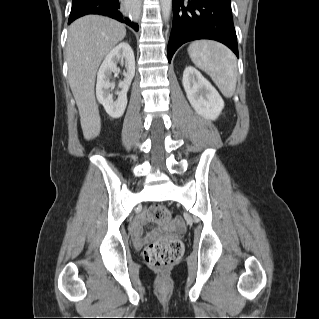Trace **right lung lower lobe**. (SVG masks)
I'll list each match as a JSON object with an SVG mask.
<instances>
[{
    "label": "right lung lower lobe",
    "mask_w": 319,
    "mask_h": 319,
    "mask_svg": "<svg viewBox=\"0 0 319 319\" xmlns=\"http://www.w3.org/2000/svg\"><path fill=\"white\" fill-rule=\"evenodd\" d=\"M119 9V0H73L69 24L84 15L98 14L123 22L137 31L139 28L138 24L133 23L129 18L124 17Z\"/></svg>",
    "instance_id": "right-lung-lower-lobe-1"
}]
</instances>
